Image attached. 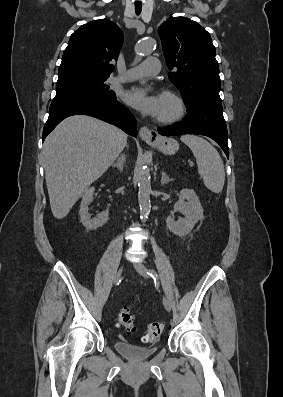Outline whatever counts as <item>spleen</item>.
Returning a JSON list of instances; mask_svg holds the SVG:
<instances>
[{
  "label": "spleen",
  "mask_w": 283,
  "mask_h": 397,
  "mask_svg": "<svg viewBox=\"0 0 283 397\" xmlns=\"http://www.w3.org/2000/svg\"><path fill=\"white\" fill-rule=\"evenodd\" d=\"M180 139L193 152L205 186L213 193H220L224 186L225 171L218 151L207 140L196 135H183Z\"/></svg>",
  "instance_id": "spleen-1"
}]
</instances>
